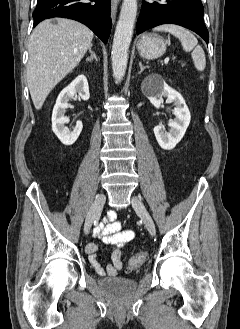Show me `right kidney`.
<instances>
[{"mask_svg": "<svg viewBox=\"0 0 240 329\" xmlns=\"http://www.w3.org/2000/svg\"><path fill=\"white\" fill-rule=\"evenodd\" d=\"M76 94L85 101L90 98L88 81L84 75H79L60 92L53 108L52 130L66 146L72 145L77 140L83 128L81 121L76 122L71 132L65 126L69 120L68 117L65 116L66 109L68 108V101Z\"/></svg>", "mask_w": 240, "mask_h": 329, "instance_id": "obj_1", "label": "right kidney"}]
</instances>
